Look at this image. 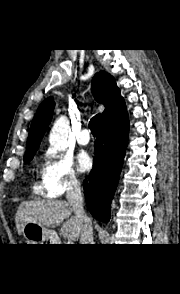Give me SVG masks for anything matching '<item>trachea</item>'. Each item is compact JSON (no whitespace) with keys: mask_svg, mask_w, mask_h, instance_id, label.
<instances>
[{"mask_svg":"<svg viewBox=\"0 0 180 294\" xmlns=\"http://www.w3.org/2000/svg\"><path fill=\"white\" fill-rule=\"evenodd\" d=\"M99 123H100V115L99 114L92 117V119L89 122V129L91 130V133L93 134V136H96L98 133Z\"/></svg>","mask_w":180,"mask_h":294,"instance_id":"1","label":"trachea"}]
</instances>
